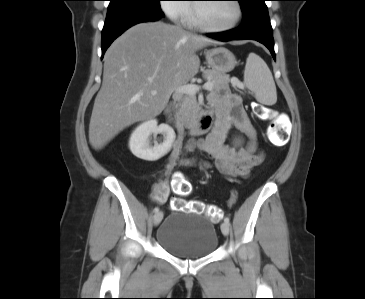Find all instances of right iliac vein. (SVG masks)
<instances>
[{
	"mask_svg": "<svg viewBox=\"0 0 365 299\" xmlns=\"http://www.w3.org/2000/svg\"><path fill=\"white\" fill-rule=\"evenodd\" d=\"M163 219V212L162 211H158L155 215H154V218H153V221H154V225H159L160 222L162 221Z\"/></svg>",
	"mask_w": 365,
	"mask_h": 299,
	"instance_id": "1",
	"label": "right iliac vein"
}]
</instances>
